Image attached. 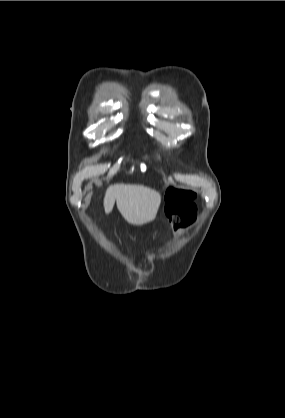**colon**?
Listing matches in <instances>:
<instances>
[{
    "label": "colon",
    "instance_id": "5ec220e1",
    "mask_svg": "<svg viewBox=\"0 0 285 418\" xmlns=\"http://www.w3.org/2000/svg\"><path fill=\"white\" fill-rule=\"evenodd\" d=\"M166 215L176 227L178 236L189 228L195 220V206L192 201L193 193L176 188L167 190Z\"/></svg>",
    "mask_w": 285,
    "mask_h": 418
}]
</instances>
